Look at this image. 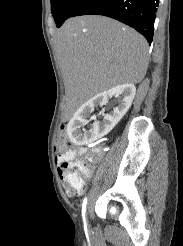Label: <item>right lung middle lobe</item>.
<instances>
[{"label": "right lung middle lobe", "instance_id": "right-lung-middle-lobe-1", "mask_svg": "<svg viewBox=\"0 0 183 246\" xmlns=\"http://www.w3.org/2000/svg\"><path fill=\"white\" fill-rule=\"evenodd\" d=\"M79 0H51V11L57 25H62Z\"/></svg>", "mask_w": 183, "mask_h": 246}]
</instances>
